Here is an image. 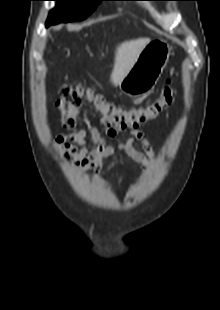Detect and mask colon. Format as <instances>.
<instances>
[{"label":"colon","mask_w":220,"mask_h":310,"mask_svg":"<svg viewBox=\"0 0 220 310\" xmlns=\"http://www.w3.org/2000/svg\"><path fill=\"white\" fill-rule=\"evenodd\" d=\"M176 86V80L168 77L155 100L142 106L125 107L107 101L83 85L65 84L60 89L58 101L60 119L65 129H74L79 121L80 106L88 102L101 114L104 126L117 130L127 127L137 129L155 120L173 103Z\"/></svg>","instance_id":"colon-1"}]
</instances>
